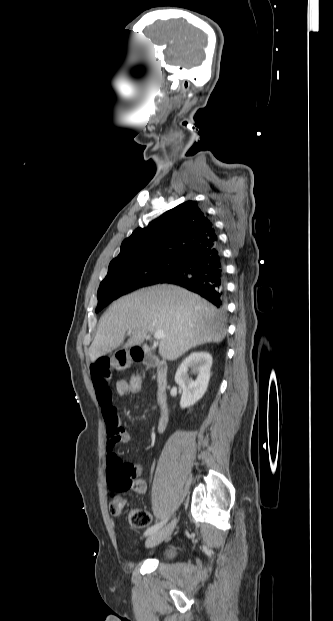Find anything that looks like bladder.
I'll return each mask as SVG.
<instances>
[{"instance_id":"bladder-1","label":"bladder","mask_w":333,"mask_h":621,"mask_svg":"<svg viewBox=\"0 0 333 621\" xmlns=\"http://www.w3.org/2000/svg\"><path fill=\"white\" fill-rule=\"evenodd\" d=\"M176 555V549L173 546H164L157 550L155 558L160 561L171 560Z\"/></svg>"}]
</instances>
